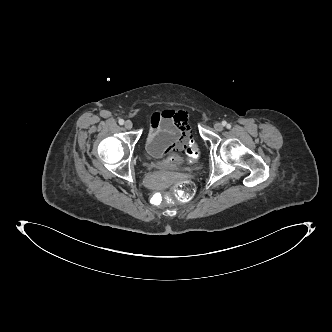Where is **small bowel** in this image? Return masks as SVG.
<instances>
[{
	"label": "small bowel",
	"instance_id": "obj_1",
	"mask_svg": "<svg viewBox=\"0 0 332 332\" xmlns=\"http://www.w3.org/2000/svg\"><path fill=\"white\" fill-rule=\"evenodd\" d=\"M187 117L184 110L164 109L154 112L146 138L148 155L165 159L179 157L190 140Z\"/></svg>",
	"mask_w": 332,
	"mask_h": 332
}]
</instances>
